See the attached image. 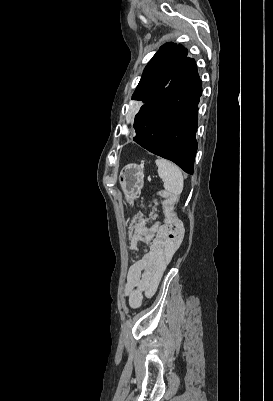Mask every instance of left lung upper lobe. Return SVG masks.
<instances>
[{"label": "left lung upper lobe", "mask_w": 273, "mask_h": 401, "mask_svg": "<svg viewBox=\"0 0 273 401\" xmlns=\"http://www.w3.org/2000/svg\"><path fill=\"white\" fill-rule=\"evenodd\" d=\"M187 54V49L172 42L160 47L145 67L132 100L146 103L160 94L168 86L174 72L187 58Z\"/></svg>", "instance_id": "1"}]
</instances>
